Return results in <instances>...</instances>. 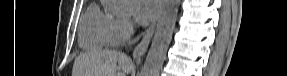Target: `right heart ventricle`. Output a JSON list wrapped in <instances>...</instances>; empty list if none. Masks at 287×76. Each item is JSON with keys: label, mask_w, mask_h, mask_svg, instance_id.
<instances>
[{"label": "right heart ventricle", "mask_w": 287, "mask_h": 76, "mask_svg": "<svg viewBox=\"0 0 287 76\" xmlns=\"http://www.w3.org/2000/svg\"><path fill=\"white\" fill-rule=\"evenodd\" d=\"M115 18L97 5L87 8L79 29V43L85 49H101L117 43L114 33Z\"/></svg>", "instance_id": "right-heart-ventricle-1"}]
</instances>
